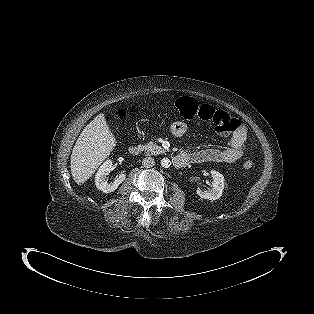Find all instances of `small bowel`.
<instances>
[{
	"label": "small bowel",
	"instance_id": "obj_1",
	"mask_svg": "<svg viewBox=\"0 0 314 314\" xmlns=\"http://www.w3.org/2000/svg\"><path fill=\"white\" fill-rule=\"evenodd\" d=\"M169 129L173 136L181 137L187 132V124L183 121H176L170 125ZM246 140V130L244 127H240L231 136L225 148H207L192 152L187 151L183 152L181 155H184L189 163H234L244 154Z\"/></svg>",
	"mask_w": 314,
	"mask_h": 314
}]
</instances>
